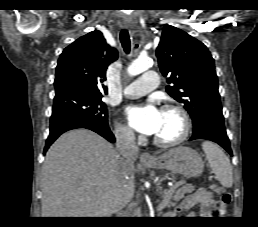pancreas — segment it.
<instances>
[{"instance_id": "obj_1", "label": "pancreas", "mask_w": 258, "mask_h": 227, "mask_svg": "<svg viewBox=\"0 0 258 227\" xmlns=\"http://www.w3.org/2000/svg\"><path fill=\"white\" fill-rule=\"evenodd\" d=\"M195 190V186L192 184H187L185 186H182L181 188H175L170 199L168 200L166 206L168 208L174 207L177 202H179L182 198H184L185 194L192 193ZM138 210H134V212H137Z\"/></svg>"}]
</instances>
